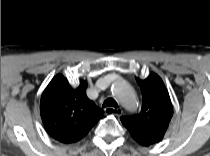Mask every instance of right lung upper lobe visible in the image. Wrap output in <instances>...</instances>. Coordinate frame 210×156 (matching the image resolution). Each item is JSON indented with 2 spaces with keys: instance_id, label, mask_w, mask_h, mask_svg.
<instances>
[{
  "instance_id": "right-lung-upper-lobe-1",
  "label": "right lung upper lobe",
  "mask_w": 210,
  "mask_h": 156,
  "mask_svg": "<svg viewBox=\"0 0 210 156\" xmlns=\"http://www.w3.org/2000/svg\"><path fill=\"white\" fill-rule=\"evenodd\" d=\"M87 82L73 88L61 74L46 87L40 102L42 122L47 133L62 143L81 140L102 118L104 111L86 96Z\"/></svg>"
}]
</instances>
